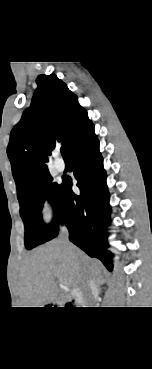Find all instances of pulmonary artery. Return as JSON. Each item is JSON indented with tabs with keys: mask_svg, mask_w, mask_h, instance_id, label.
<instances>
[{
	"mask_svg": "<svg viewBox=\"0 0 152 369\" xmlns=\"http://www.w3.org/2000/svg\"><path fill=\"white\" fill-rule=\"evenodd\" d=\"M54 166H55L56 170L59 171V172H62L65 169V163L60 159H57L54 162Z\"/></svg>",
	"mask_w": 152,
	"mask_h": 369,
	"instance_id": "e3ab8cb5",
	"label": "pulmonary artery"
}]
</instances>
